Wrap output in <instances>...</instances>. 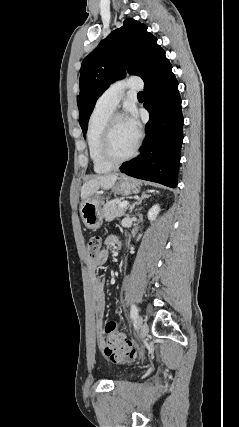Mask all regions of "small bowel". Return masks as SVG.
<instances>
[{"mask_svg":"<svg viewBox=\"0 0 239 427\" xmlns=\"http://www.w3.org/2000/svg\"><path fill=\"white\" fill-rule=\"evenodd\" d=\"M115 239L113 237L107 238L105 247L100 249L94 258H88L86 261L90 290H91V306L95 317L96 326L98 329V344L104 347L105 341L101 333L103 315L105 309L104 287L105 282L97 274V268L103 265L109 256L107 246L113 245Z\"/></svg>","mask_w":239,"mask_h":427,"instance_id":"c3829d8e","label":"small bowel"}]
</instances>
